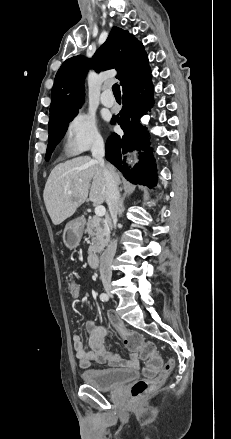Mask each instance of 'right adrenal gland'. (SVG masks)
Segmentation results:
<instances>
[{
	"label": "right adrenal gland",
	"mask_w": 231,
	"mask_h": 439,
	"mask_svg": "<svg viewBox=\"0 0 231 439\" xmlns=\"http://www.w3.org/2000/svg\"><path fill=\"white\" fill-rule=\"evenodd\" d=\"M124 200H125V196H123L122 198H120V209H119V216H122V213L124 212Z\"/></svg>",
	"instance_id": "1"
}]
</instances>
